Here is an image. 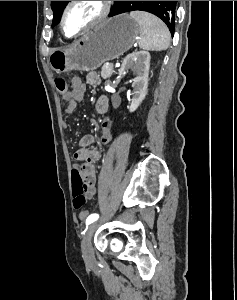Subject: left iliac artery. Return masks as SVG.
Masks as SVG:
<instances>
[{"mask_svg": "<svg viewBox=\"0 0 237 300\" xmlns=\"http://www.w3.org/2000/svg\"><path fill=\"white\" fill-rule=\"evenodd\" d=\"M99 218L98 214H91L87 220H86V225H89L91 223H93L94 221H96Z\"/></svg>", "mask_w": 237, "mask_h": 300, "instance_id": "left-iliac-artery-1", "label": "left iliac artery"}]
</instances>
